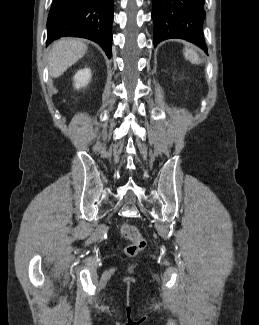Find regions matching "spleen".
Wrapping results in <instances>:
<instances>
[{"label":"spleen","instance_id":"1","mask_svg":"<svg viewBox=\"0 0 259 325\" xmlns=\"http://www.w3.org/2000/svg\"><path fill=\"white\" fill-rule=\"evenodd\" d=\"M184 56L187 60H189L192 64H199L200 58L198 54L191 48L184 49Z\"/></svg>","mask_w":259,"mask_h":325}]
</instances>
